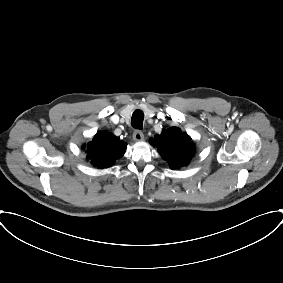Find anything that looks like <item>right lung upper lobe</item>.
I'll list each match as a JSON object with an SVG mask.
<instances>
[{"label":"right lung upper lobe","mask_w":283,"mask_h":283,"mask_svg":"<svg viewBox=\"0 0 283 283\" xmlns=\"http://www.w3.org/2000/svg\"><path fill=\"white\" fill-rule=\"evenodd\" d=\"M126 144L107 131L98 132L87 144V154L95 166L107 168L125 153Z\"/></svg>","instance_id":"right-lung-upper-lobe-1"}]
</instances>
